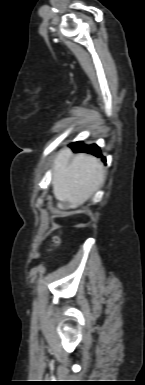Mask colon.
I'll use <instances>...</instances> for the list:
<instances>
[{"mask_svg":"<svg viewBox=\"0 0 145 385\" xmlns=\"http://www.w3.org/2000/svg\"><path fill=\"white\" fill-rule=\"evenodd\" d=\"M52 242H53V244H57L59 242V237L58 236H54L53 239H52Z\"/></svg>","mask_w":145,"mask_h":385,"instance_id":"5ec220e1","label":"colon"}]
</instances>
